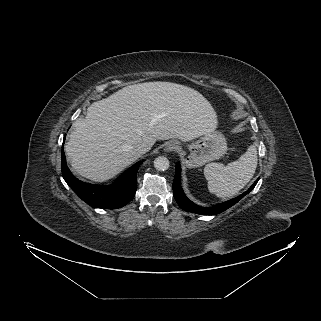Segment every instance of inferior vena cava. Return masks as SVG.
<instances>
[{
	"mask_svg": "<svg viewBox=\"0 0 321 321\" xmlns=\"http://www.w3.org/2000/svg\"><path fill=\"white\" fill-rule=\"evenodd\" d=\"M149 150H150V146L145 143L139 144L135 147V151L139 154H144Z\"/></svg>",
	"mask_w": 321,
	"mask_h": 321,
	"instance_id": "1",
	"label": "inferior vena cava"
}]
</instances>
